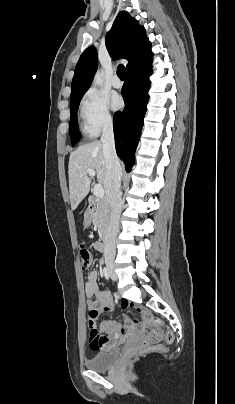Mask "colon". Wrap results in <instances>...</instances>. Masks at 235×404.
<instances>
[{
  "label": "colon",
  "instance_id": "5ec220e1",
  "mask_svg": "<svg viewBox=\"0 0 235 404\" xmlns=\"http://www.w3.org/2000/svg\"><path fill=\"white\" fill-rule=\"evenodd\" d=\"M79 255H80V263L81 267L83 270H86L90 267L91 262H92V255L90 250L85 246L81 245L79 248ZM139 312L142 313L143 317H148V322L147 325L151 327V330L149 332V339L153 343H160L162 341H165L166 343H171L173 340V335L171 332L167 331L164 332L159 328V325L161 324V321L159 318L153 315H148V313L142 309L138 308ZM88 328L90 331V338L93 337V342L95 344H101L104 343L105 339L98 337L97 334V327H96V322H95V317L94 314L90 315L89 314V319H88ZM158 348H161V345H157Z\"/></svg>",
  "mask_w": 235,
  "mask_h": 404
}]
</instances>
